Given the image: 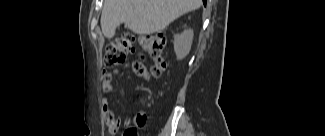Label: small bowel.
Listing matches in <instances>:
<instances>
[{
	"label": "small bowel",
	"mask_w": 325,
	"mask_h": 136,
	"mask_svg": "<svg viewBox=\"0 0 325 136\" xmlns=\"http://www.w3.org/2000/svg\"><path fill=\"white\" fill-rule=\"evenodd\" d=\"M147 57H145L143 54L138 55L135 58V63L133 64V70L141 78L146 77V69L143 66V64H147ZM113 77V73L108 70L102 71V86L105 91H110L111 86V80ZM102 108L105 116V121L108 127V130L111 134H116L120 127H121V121L116 116V114L111 109L107 99H103L102 102ZM147 115L144 111H139L132 119L128 120L126 123V131H136L137 127H141L146 123Z\"/></svg>",
	"instance_id": "1"
}]
</instances>
